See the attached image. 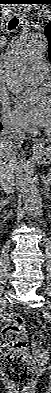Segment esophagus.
<instances>
[{
    "instance_id": "obj_1",
    "label": "esophagus",
    "mask_w": 51,
    "mask_h": 393,
    "mask_svg": "<svg viewBox=\"0 0 51 393\" xmlns=\"http://www.w3.org/2000/svg\"><path fill=\"white\" fill-rule=\"evenodd\" d=\"M34 141L35 142H34V145H33V149H34V151H36V150H38V149H40L42 147V141L41 140H37V139H35Z\"/></svg>"
}]
</instances>
